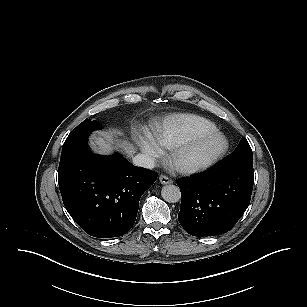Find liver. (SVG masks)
I'll return each mask as SVG.
<instances>
[{
	"label": "liver",
	"mask_w": 307,
	"mask_h": 307,
	"mask_svg": "<svg viewBox=\"0 0 307 307\" xmlns=\"http://www.w3.org/2000/svg\"><path fill=\"white\" fill-rule=\"evenodd\" d=\"M113 137L111 136H95L91 140L92 147L100 154H108L113 149ZM119 147H121L124 152L128 156H133V154L136 151V148L133 146V144H130L128 141H118Z\"/></svg>",
	"instance_id": "1"
}]
</instances>
